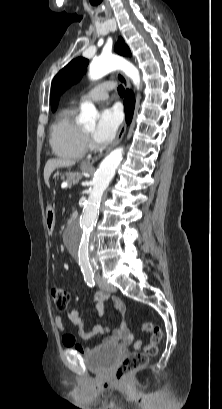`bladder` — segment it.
I'll return each mask as SVG.
<instances>
[{
    "instance_id": "31cf9c89",
    "label": "bladder",
    "mask_w": 222,
    "mask_h": 409,
    "mask_svg": "<svg viewBox=\"0 0 222 409\" xmlns=\"http://www.w3.org/2000/svg\"><path fill=\"white\" fill-rule=\"evenodd\" d=\"M121 356V349L116 344L99 345L85 357L86 367L97 374H109Z\"/></svg>"
}]
</instances>
